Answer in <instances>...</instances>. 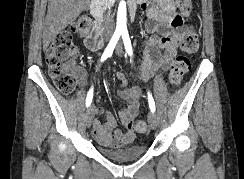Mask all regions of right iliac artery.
Here are the masks:
<instances>
[{
  "instance_id": "1",
  "label": "right iliac artery",
  "mask_w": 244,
  "mask_h": 179,
  "mask_svg": "<svg viewBox=\"0 0 244 179\" xmlns=\"http://www.w3.org/2000/svg\"><path fill=\"white\" fill-rule=\"evenodd\" d=\"M120 35H121V32L114 33L112 39L110 40L108 46L106 47V49L101 57V62L106 60L108 57H111V55L114 51V48L120 38ZM92 98H93V88H91L87 94L86 107L90 106V104L92 102Z\"/></svg>"
}]
</instances>
